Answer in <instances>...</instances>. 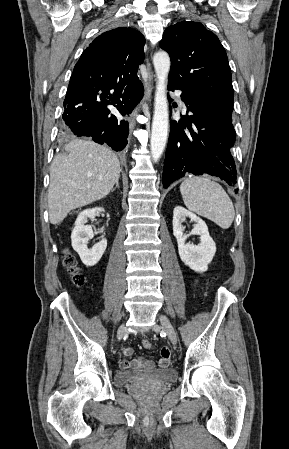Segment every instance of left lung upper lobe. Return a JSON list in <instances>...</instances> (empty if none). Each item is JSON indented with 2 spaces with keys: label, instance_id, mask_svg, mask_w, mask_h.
<instances>
[{
  "label": "left lung upper lobe",
  "instance_id": "5c2ea615",
  "mask_svg": "<svg viewBox=\"0 0 289 449\" xmlns=\"http://www.w3.org/2000/svg\"><path fill=\"white\" fill-rule=\"evenodd\" d=\"M171 59L169 81L191 88L205 106L232 117L233 86L224 47L201 23L168 27L160 41Z\"/></svg>",
  "mask_w": 289,
  "mask_h": 449
}]
</instances>
